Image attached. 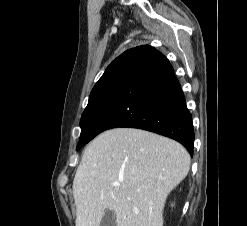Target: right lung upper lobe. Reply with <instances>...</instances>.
Returning a JSON list of instances; mask_svg holds the SVG:
<instances>
[{"mask_svg": "<svg viewBox=\"0 0 247 226\" xmlns=\"http://www.w3.org/2000/svg\"><path fill=\"white\" fill-rule=\"evenodd\" d=\"M132 50L133 49H129V50L125 51L122 55L117 57L114 61H112V63L107 67L106 70H108L110 67H112L113 65H115L119 61H125L126 62L128 56H129V54L131 53Z\"/></svg>", "mask_w": 247, "mask_h": 226, "instance_id": "1", "label": "right lung upper lobe"}]
</instances>
